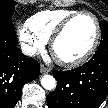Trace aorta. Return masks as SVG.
<instances>
[{
    "label": "aorta",
    "mask_w": 108,
    "mask_h": 108,
    "mask_svg": "<svg viewBox=\"0 0 108 108\" xmlns=\"http://www.w3.org/2000/svg\"><path fill=\"white\" fill-rule=\"evenodd\" d=\"M41 85L47 90H53L56 87V80L51 75H44L41 79Z\"/></svg>",
    "instance_id": "762f6f07"
}]
</instances>
